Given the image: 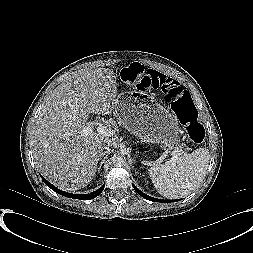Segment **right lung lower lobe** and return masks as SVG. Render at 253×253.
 I'll return each mask as SVG.
<instances>
[{
	"mask_svg": "<svg viewBox=\"0 0 253 253\" xmlns=\"http://www.w3.org/2000/svg\"><path fill=\"white\" fill-rule=\"evenodd\" d=\"M42 179L45 182V184L49 188H51L53 191H55L56 193H58L60 195H63V196H66V197H69V198L81 199V200H90V199L95 198L96 196H98L103 191V189L105 187V184H104L98 190H96V191H94V192H92L90 194H71V193H66L64 191L59 190L58 188H56L55 186H53L51 183H49L47 180H45L43 177H42Z\"/></svg>",
	"mask_w": 253,
	"mask_h": 253,
	"instance_id": "1",
	"label": "right lung lower lobe"
}]
</instances>
